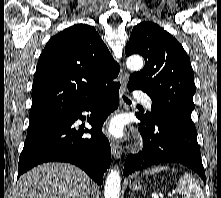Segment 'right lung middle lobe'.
Masks as SVG:
<instances>
[{"label": "right lung middle lobe", "instance_id": "dd1d6c3e", "mask_svg": "<svg viewBox=\"0 0 221 198\" xmlns=\"http://www.w3.org/2000/svg\"><path fill=\"white\" fill-rule=\"evenodd\" d=\"M61 116H63V115H61ZM61 116H56V117H52V118H49V119H45V120H41V121L30 123L27 132L35 129L38 126H41V125H43L45 123H48V122H50V121H52L54 119H57V118H59Z\"/></svg>", "mask_w": 221, "mask_h": 198}]
</instances>
